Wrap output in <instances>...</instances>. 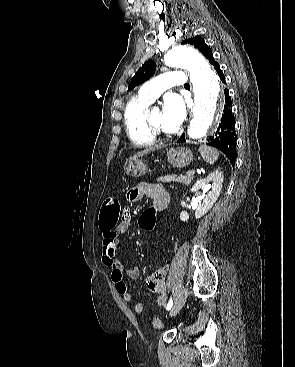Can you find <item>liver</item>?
<instances>
[{
    "instance_id": "6515ba94",
    "label": "liver",
    "mask_w": 295,
    "mask_h": 367,
    "mask_svg": "<svg viewBox=\"0 0 295 367\" xmlns=\"http://www.w3.org/2000/svg\"><path fill=\"white\" fill-rule=\"evenodd\" d=\"M154 150H156V148H152V147L146 148L145 150L140 151V152H138L137 154H135L133 157H130V158H129V160H130V161H131V160H135L136 158H138V157H142V156H144V155H146V154H148L149 152L154 151Z\"/></svg>"
}]
</instances>
